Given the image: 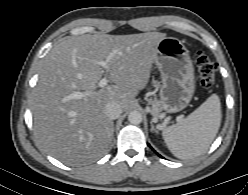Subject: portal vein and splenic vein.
<instances>
[{
    "instance_id": "1",
    "label": "portal vein and splenic vein",
    "mask_w": 248,
    "mask_h": 195,
    "mask_svg": "<svg viewBox=\"0 0 248 195\" xmlns=\"http://www.w3.org/2000/svg\"><path fill=\"white\" fill-rule=\"evenodd\" d=\"M111 58H112V55H110V56L107 58L106 61H101V62H99V64H100L103 68L108 69L107 63H108V61H109ZM108 82H109V81H108L107 77H104V78H102V79L99 81L98 85H99V87H105V86L108 84ZM81 96H82V94H79V95H75L74 97L79 98V97H81Z\"/></svg>"
}]
</instances>
